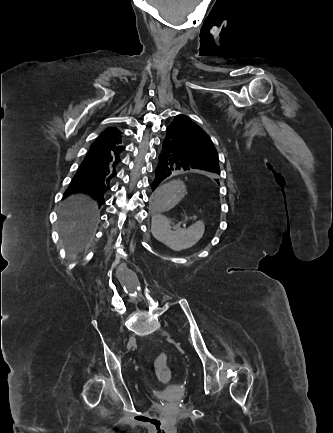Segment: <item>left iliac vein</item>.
Listing matches in <instances>:
<instances>
[{
  "label": "left iliac vein",
  "instance_id": "4c4485c4",
  "mask_svg": "<svg viewBox=\"0 0 333 433\" xmlns=\"http://www.w3.org/2000/svg\"><path fill=\"white\" fill-rule=\"evenodd\" d=\"M162 335L169 337V334L167 332H165V331H162Z\"/></svg>",
  "mask_w": 333,
  "mask_h": 433
}]
</instances>
